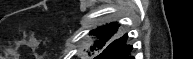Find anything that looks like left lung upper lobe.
I'll list each match as a JSON object with an SVG mask.
<instances>
[{
    "label": "left lung upper lobe",
    "instance_id": "obj_1",
    "mask_svg": "<svg viewBox=\"0 0 193 59\" xmlns=\"http://www.w3.org/2000/svg\"><path fill=\"white\" fill-rule=\"evenodd\" d=\"M118 27H119L118 24L110 23L90 31L91 35H94L98 38V40L95 41L94 46L91 47V51L102 52L106 48H110L117 41L115 40L111 43L112 39H114L115 34L118 31Z\"/></svg>",
    "mask_w": 193,
    "mask_h": 59
}]
</instances>
